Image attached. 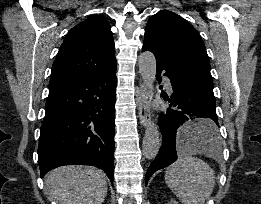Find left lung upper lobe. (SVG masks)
Returning a JSON list of instances; mask_svg holds the SVG:
<instances>
[{"label":"left lung upper lobe","mask_w":261,"mask_h":204,"mask_svg":"<svg viewBox=\"0 0 261 204\" xmlns=\"http://www.w3.org/2000/svg\"><path fill=\"white\" fill-rule=\"evenodd\" d=\"M142 49L157 62L213 87L210 62L198 31L181 16L161 10L147 22Z\"/></svg>","instance_id":"5c2ea615"}]
</instances>
